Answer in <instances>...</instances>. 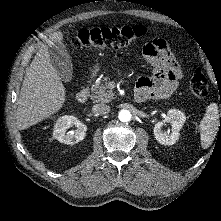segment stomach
<instances>
[{"label":"stomach","mask_w":221,"mask_h":221,"mask_svg":"<svg viewBox=\"0 0 221 221\" xmlns=\"http://www.w3.org/2000/svg\"><path fill=\"white\" fill-rule=\"evenodd\" d=\"M99 70V67H95V71H98Z\"/></svg>","instance_id":"stomach-1"}]
</instances>
